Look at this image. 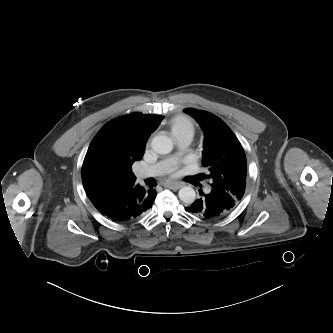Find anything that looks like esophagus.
<instances>
[{
	"mask_svg": "<svg viewBox=\"0 0 333 333\" xmlns=\"http://www.w3.org/2000/svg\"><path fill=\"white\" fill-rule=\"evenodd\" d=\"M164 185L173 190H178L182 186V184L178 182H166Z\"/></svg>",
	"mask_w": 333,
	"mask_h": 333,
	"instance_id": "34e87169",
	"label": "esophagus"
}]
</instances>
